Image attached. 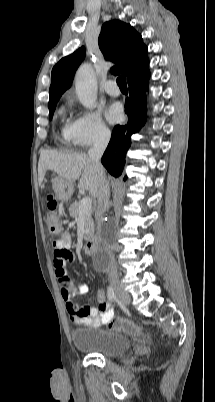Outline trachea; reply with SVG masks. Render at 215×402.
<instances>
[{"mask_svg": "<svg viewBox=\"0 0 215 402\" xmlns=\"http://www.w3.org/2000/svg\"><path fill=\"white\" fill-rule=\"evenodd\" d=\"M117 84L120 87V89H127L126 77L125 76L118 77Z\"/></svg>", "mask_w": 215, "mask_h": 402, "instance_id": "1", "label": "trachea"}]
</instances>
